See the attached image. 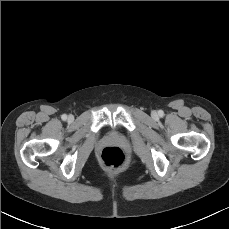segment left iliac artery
<instances>
[{"label":"left iliac artery","instance_id":"1","mask_svg":"<svg viewBox=\"0 0 229 229\" xmlns=\"http://www.w3.org/2000/svg\"><path fill=\"white\" fill-rule=\"evenodd\" d=\"M163 114H164L163 111L162 110H159V115L160 116H163Z\"/></svg>","mask_w":229,"mask_h":229}]
</instances>
